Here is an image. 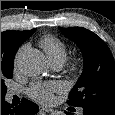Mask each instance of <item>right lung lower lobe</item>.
I'll list each match as a JSON object with an SVG mask.
<instances>
[{
	"mask_svg": "<svg viewBox=\"0 0 115 115\" xmlns=\"http://www.w3.org/2000/svg\"><path fill=\"white\" fill-rule=\"evenodd\" d=\"M38 111V106L27 99H22V103L15 107L6 102L5 98L1 99V115H34Z\"/></svg>",
	"mask_w": 115,
	"mask_h": 115,
	"instance_id": "98d812e1",
	"label": "right lung lower lobe"
}]
</instances>
